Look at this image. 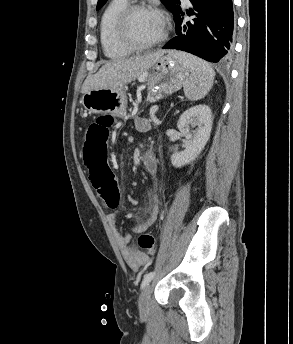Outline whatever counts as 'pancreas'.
Masks as SVG:
<instances>
[{"mask_svg": "<svg viewBox=\"0 0 293 344\" xmlns=\"http://www.w3.org/2000/svg\"><path fill=\"white\" fill-rule=\"evenodd\" d=\"M151 122H152V120H145V125L147 126V128L148 129H150L151 128Z\"/></svg>", "mask_w": 293, "mask_h": 344, "instance_id": "1", "label": "pancreas"}]
</instances>
